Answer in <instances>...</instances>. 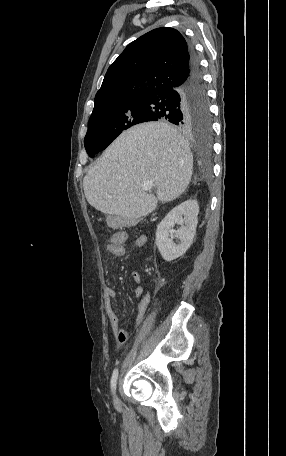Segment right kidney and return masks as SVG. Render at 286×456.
I'll use <instances>...</instances> for the list:
<instances>
[{
	"label": "right kidney",
	"instance_id": "1",
	"mask_svg": "<svg viewBox=\"0 0 286 456\" xmlns=\"http://www.w3.org/2000/svg\"><path fill=\"white\" fill-rule=\"evenodd\" d=\"M199 206L189 199L174 207L161 221L156 231V245L165 261H173L185 254L193 242L198 224ZM175 224L181 225L177 233L172 231ZM174 237L180 242L175 244Z\"/></svg>",
	"mask_w": 286,
	"mask_h": 456
}]
</instances>
